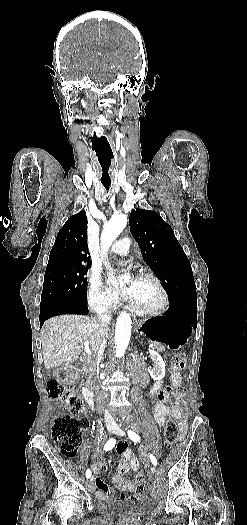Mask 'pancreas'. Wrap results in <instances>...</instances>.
Masks as SVG:
<instances>
[{"mask_svg":"<svg viewBox=\"0 0 247 525\" xmlns=\"http://www.w3.org/2000/svg\"><path fill=\"white\" fill-rule=\"evenodd\" d=\"M156 351L163 353L165 351V348L163 346H160L159 348H156ZM87 373H89L88 383H92V381H96L95 369L93 365H89L88 369H86V375Z\"/></svg>","mask_w":247,"mask_h":525,"instance_id":"obj_1","label":"pancreas"}]
</instances>
